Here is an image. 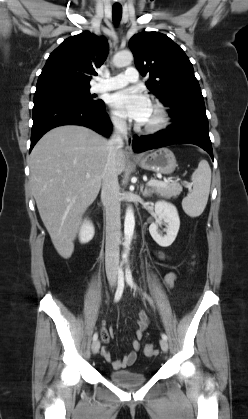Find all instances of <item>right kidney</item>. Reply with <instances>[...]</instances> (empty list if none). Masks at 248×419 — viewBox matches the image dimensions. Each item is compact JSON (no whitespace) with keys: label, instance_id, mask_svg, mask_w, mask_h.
I'll return each mask as SVG.
<instances>
[{"label":"right kidney","instance_id":"obj_1","mask_svg":"<svg viewBox=\"0 0 248 419\" xmlns=\"http://www.w3.org/2000/svg\"><path fill=\"white\" fill-rule=\"evenodd\" d=\"M95 229L90 220H84L79 228V240L88 243L94 237Z\"/></svg>","mask_w":248,"mask_h":419}]
</instances>
